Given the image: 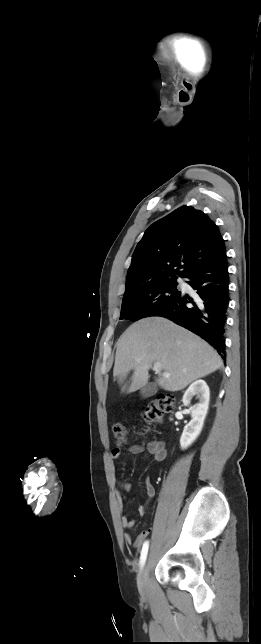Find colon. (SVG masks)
<instances>
[{"instance_id": "colon-1", "label": "colon", "mask_w": 261, "mask_h": 644, "mask_svg": "<svg viewBox=\"0 0 261 644\" xmlns=\"http://www.w3.org/2000/svg\"><path fill=\"white\" fill-rule=\"evenodd\" d=\"M175 404V398L169 394H160L150 402L144 410V419L149 425L157 424L164 414L171 413ZM115 438L125 442L128 437L127 426L123 422H117L113 426Z\"/></svg>"}]
</instances>
